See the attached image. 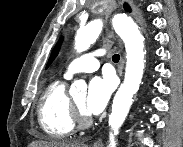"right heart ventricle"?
Returning <instances> with one entry per match:
<instances>
[{"mask_svg":"<svg viewBox=\"0 0 183 147\" xmlns=\"http://www.w3.org/2000/svg\"><path fill=\"white\" fill-rule=\"evenodd\" d=\"M38 120L43 131L52 138H65L74 133L71 99L64 81L57 80L47 86L38 105Z\"/></svg>","mask_w":183,"mask_h":147,"instance_id":"right-heart-ventricle-1","label":"right heart ventricle"}]
</instances>
